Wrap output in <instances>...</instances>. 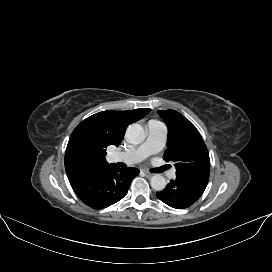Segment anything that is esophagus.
Segmentation results:
<instances>
[{"instance_id": "obj_1", "label": "esophagus", "mask_w": 272, "mask_h": 272, "mask_svg": "<svg viewBox=\"0 0 272 272\" xmlns=\"http://www.w3.org/2000/svg\"><path fill=\"white\" fill-rule=\"evenodd\" d=\"M144 173H145V175L147 176V177H151V176H153L154 174L153 173H151V172H149V171H144Z\"/></svg>"}]
</instances>
